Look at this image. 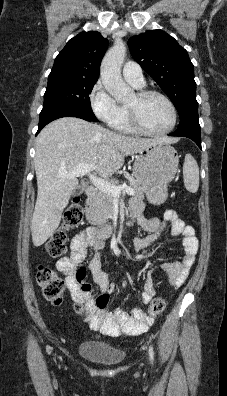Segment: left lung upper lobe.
Instances as JSON below:
<instances>
[{
  "label": "left lung upper lobe",
  "instance_id": "5c2ea615",
  "mask_svg": "<svg viewBox=\"0 0 227 396\" xmlns=\"http://www.w3.org/2000/svg\"><path fill=\"white\" fill-rule=\"evenodd\" d=\"M132 57L158 83L182 117L198 109L194 66L187 51L162 30L133 36L128 41Z\"/></svg>",
  "mask_w": 227,
  "mask_h": 396
}]
</instances>
